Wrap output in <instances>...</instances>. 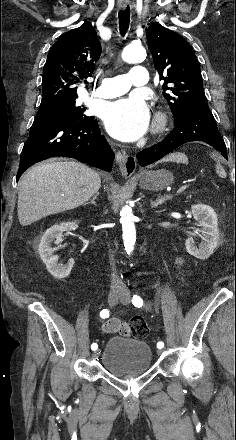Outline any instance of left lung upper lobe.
Masks as SVG:
<instances>
[{"mask_svg": "<svg viewBox=\"0 0 236 440\" xmlns=\"http://www.w3.org/2000/svg\"><path fill=\"white\" fill-rule=\"evenodd\" d=\"M146 36L155 69L164 81L163 96L177 123L192 106L207 104L199 62L182 36L158 22L150 25Z\"/></svg>", "mask_w": 236, "mask_h": 440, "instance_id": "obj_1", "label": "left lung upper lobe"}]
</instances>
